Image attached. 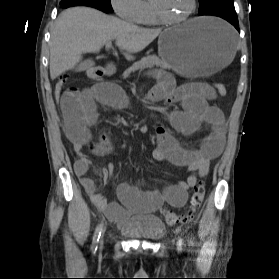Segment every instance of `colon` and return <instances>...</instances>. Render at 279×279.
I'll return each mask as SVG.
<instances>
[{
  "mask_svg": "<svg viewBox=\"0 0 279 279\" xmlns=\"http://www.w3.org/2000/svg\"><path fill=\"white\" fill-rule=\"evenodd\" d=\"M66 83L67 80L65 77H62L57 81L54 90V94L57 100H60L63 93L65 92ZM213 92L221 96H224L227 93L226 87L222 83H215L213 85ZM204 196H205V186L203 183H199L194 187V190L190 198L188 209L185 213H177L169 209H164L162 211V214L165 220L167 221V223L174 225L190 219L201 206Z\"/></svg>",
  "mask_w": 279,
  "mask_h": 279,
  "instance_id": "obj_1",
  "label": "colon"
}]
</instances>
